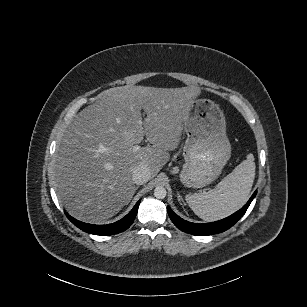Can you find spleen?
Returning <instances> with one entry per match:
<instances>
[{
    "label": "spleen",
    "instance_id": "spleen-1",
    "mask_svg": "<svg viewBox=\"0 0 307 307\" xmlns=\"http://www.w3.org/2000/svg\"><path fill=\"white\" fill-rule=\"evenodd\" d=\"M256 165L253 154H248L235 169L208 192L186 195L193 212L204 221H217L239 210L248 200Z\"/></svg>",
    "mask_w": 307,
    "mask_h": 307
}]
</instances>
